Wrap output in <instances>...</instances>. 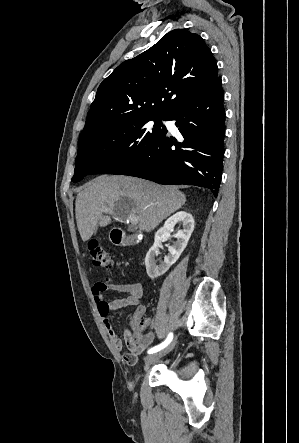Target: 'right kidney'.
Listing matches in <instances>:
<instances>
[{
	"mask_svg": "<svg viewBox=\"0 0 299 443\" xmlns=\"http://www.w3.org/2000/svg\"><path fill=\"white\" fill-rule=\"evenodd\" d=\"M177 223L182 224V230L175 236L177 241L168 247V255L160 265H156V256L159 254L158 247L163 240L170 238V232ZM194 230V219L191 214L180 211L168 218L164 226L160 228L154 239L153 246L149 249L145 258L146 271L151 279L157 278L168 271V269L178 260L181 253L187 246L189 238Z\"/></svg>",
	"mask_w": 299,
	"mask_h": 443,
	"instance_id": "right-kidney-1",
	"label": "right kidney"
}]
</instances>
